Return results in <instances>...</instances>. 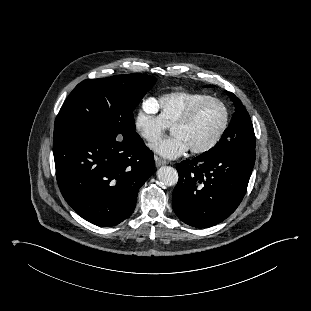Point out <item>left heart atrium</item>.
Returning a JSON list of instances; mask_svg holds the SVG:
<instances>
[{"label": "left heart atrium", "mask_w": 311, "mask_h": 311, "mask_svg": "<svg viewBox=\"0 0 311 311\" xmlns=\"http://www.w3.org/2000/svg\"><path fill=\"white\" fill-rule=\"evenodd\" d=\"M152 149L163 158L176 159L186 153L190 148L183 138L173 135L158 141L152 146Z\"/></svg>", "instance_id": "left-heart-atrium-1"}]
</instances>
